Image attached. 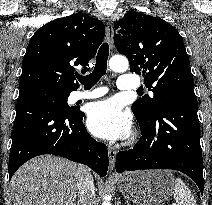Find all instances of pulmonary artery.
<instances>
[{"mask_svg": "<svg viewBox=\"0 0 212 205\" xmlns=\"http://www.w3.org/2000/svg\"><path fill=\"white\" fill-rule=\"evenodd\" d=\"M140 86V82L132 75L122 74L118 78L117 87L120 90H136ZM107 93L104 87L95 88L89 91H77L73 95L74 100L94 99Z\"/></svg>", "mask_w": 212, "mask_h": 205, "instance_id": "1", "label": "pulmonary artery"}]
</instances>
